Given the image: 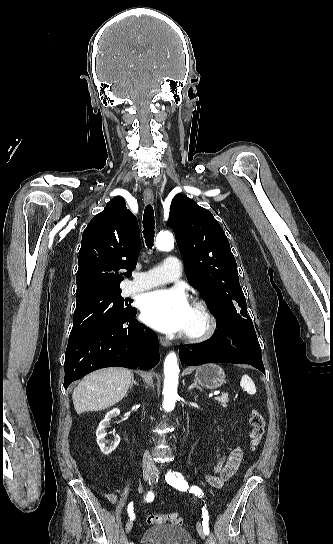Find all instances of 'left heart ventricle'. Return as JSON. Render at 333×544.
Instances as JSON below:
<instances>
[{"label":"left heart ventricle","instance_id":"1","mask_svg":"<svg viewBox=\"0 0 333 544\" xmlns=\"http://www.w3.org/2000/svg\"><path fill=\"white\" fill-rule=\"evenodd\" d=\"M202 325V317L198 311L192 307L189 323L185 331H195Z\"/></svg>","mask_w":333,"mask_h":544}]
</instances>
